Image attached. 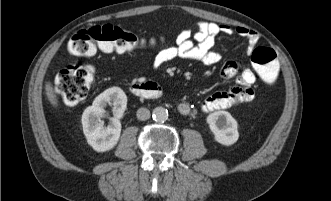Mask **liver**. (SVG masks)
Wrapping results in <instances>:
<instances>
[{
    "instance_id": "liver-1",
    "label": "liver",
    "mask_w": 331,
    "mask_h": 201,
    "mask_svg": "<svg viewBox=\"0 0 331 201\" xmlns=\"http://www.w3.org/2000/svg\"><path fill=\"white\" fill-rule=\"evenodd\" d=\"M45 91H46V95H47V99L49 100V102L51 103V105L54 108L58 107V99H57V95L55 94L52 84L50 82H47L45 84Z\"/></svg>"
}]
</instances>
